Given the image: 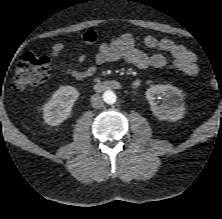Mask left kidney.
I'll list each match as a JSON object with an SVG mask.
<instances>
[{"label": "left kidney", "mask_w": 222, "mask_h": 219, "mask_svg": "<svg viewBox=\"0 0 222 219\" xmlns=\"http://www.w3.org/2000/svg\"><path fill=\"white\" fill-rule=\"evenodd\" d=\"M162 97V104L158 105L156 97ZM152 113L161 120L177 121L182 118L185 106L181 90L170 84L154 85L146 91Z\"/></svg>", "instance_id": "obj_1"}]
</instances>
